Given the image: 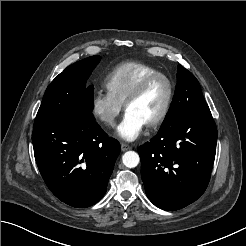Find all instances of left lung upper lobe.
I'll return each mask as SVG.
<instances>
[{"mask_svg": "<svg viewBox=\"0 0 246 246\" xmlns=\"http://www.w3.org/2000/svg\"><path fill=\"white\" fill-rule=\"evenodd\" d=\"M208 108L198 80L179 64L173 102L161 127L169 125L177 117Z\"/></svg>", "mask_w": 246, "mask_h": 246, "instance_id": "left-lung-upper-lobe-1", "label": "left lung upper lobe"}]
</instances>
